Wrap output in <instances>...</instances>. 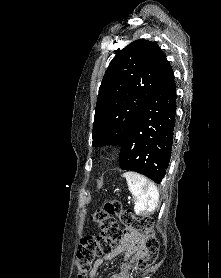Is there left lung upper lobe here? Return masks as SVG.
Returning a JSON list of instances; mask_svg holds the SVG:
<instances>
[{"mask_svg":"<svg viewBox=\"0 0 221 278\" xmlns=\"http://www.w3.org/2000/svg\"><path fill=\"white\" fill-rule=\"evenodd\" d=\"M116 53L99 88L94 146L123 143L168 65L160 47L146 40H136Z\"/></svg>","mask_w":221,"mask_h":278,"instance_id":"1","label":"left lung upper lobe"}]
</instances>
